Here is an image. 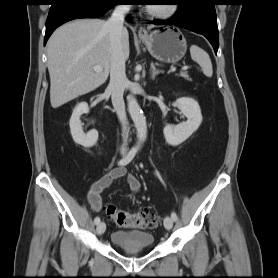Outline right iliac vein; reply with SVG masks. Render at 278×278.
Wrapping results in <instances>:
<instances>
[{"instance_id":"obj_1","label":"right iliac vein","mask_w":278,"mask_h":278,"mask_svg":"<svg viewBox=\"0 0 278 278\" xmlns=\"http://www.w3.org/2000/svg\"><path fill=\"white\" fill-rule=\"evenodd\" d=\"M105 230H106V225L104 222H100L96 227V231L98 235L103 234Z\"/></svg>"}]
</instances>
